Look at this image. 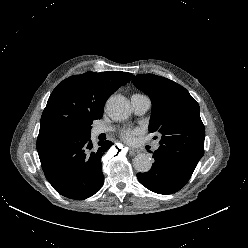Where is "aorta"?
Here are the masks:
<instances>
[{"mask_svg": "<svg viewBox=\"0 0 248 248\" xmlns=\"http://www.w3.org/2000/svg\"><path fill=\"white\" fill-rule=\"evenodd\" d=\"M106 110L109 117L114 121L126 119L131 112L128 100L121 95L110 97L106 103ZM152 163V158L145 153L138 154L133 160L135 169L141 173L148 172L152 167Z\"/></svg>", "mask_w": 248, "mask_h": 248, "instance_id": "1", "label": "aorta"}]
</instances>
